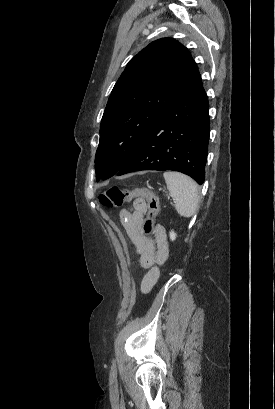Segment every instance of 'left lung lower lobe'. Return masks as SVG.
<instances>
[{
  "instance_id": "0a47b994",
  "label": "left lung lower lobe",
  "mask_w": 275,
  "mask_h": 409,
  "mask_svg": "<svg viewBox=\"0 0 275 409\" xmlns=\"http://www.w3.org/2000/svg\"><path fill=\"white\" fill-rule=\"evenodd\" d=\"M209 132V102L201 83L157 120L116 175L174 170L202 184Z\"/></svg>"
}]
</instances>
